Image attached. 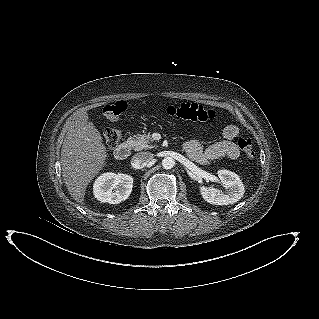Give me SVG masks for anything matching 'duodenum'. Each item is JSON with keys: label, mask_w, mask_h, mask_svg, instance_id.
Masks as SVG:
<instances>
[{"label": "duodenum", "mask_w": 319, "mask_h": 319, "mask_svg": "<svg viewBox=\"0 0 319 319\" xmlns=\"http://www.w3.org/2000/svg\"><path fill=\"white\" fill-rule=\"evenodd\" d=\"M129 153H130V145L128 142H122L114 150V155L116 159L118 160L126 159Z\"/></svg>", "instance_id": "obj_1"}]
</instances>
